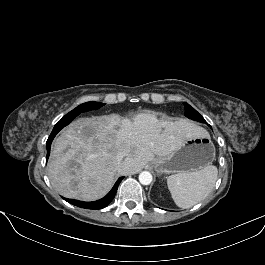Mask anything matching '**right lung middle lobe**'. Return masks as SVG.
Instances as JSON below:
<instances>
[{
    "label": "right lung middle lobe",
    "instance_id": "obj_1",
    "mask_svg": "<svg viewBox=\"0 0 265 265\" xmlns=\"http://www.w3.org/2000/svg\"><path fill=\"white\" fill-rule=\"evenodd\" d=\"M104 103H99V102H86L72 111H70L68 114H66L55 126H66L69 124L75 117H77L80 113L90 111V110H95L99 109L100 107L104 106ZM54 126V127H55Z\"/></svg>",
    "mask_w": 265,
    "mask_h": 265
}]
</instances>
